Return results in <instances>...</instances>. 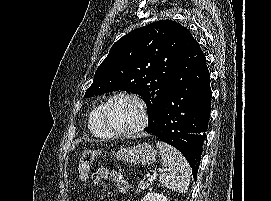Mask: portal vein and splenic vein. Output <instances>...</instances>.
<instances>
[{
    "label": "portal vein and splenic vein",
    "instance_id": "portal-vein-and-splenic-vein-1",
    "mask_svg": "<svg viewBox=\"0 0 271 201\" xmlns=\"http://www.w3.org/2000/svg\"><path fill=\"white\" fill-rule=\"evenodd\" d=\"M155 178H156V175L153 174V175H151V176L149 177V180L152 181V180H155Z\"/></svg>",
    "mask_w": 271,
    "mask_h": 201
}]
</instances>
